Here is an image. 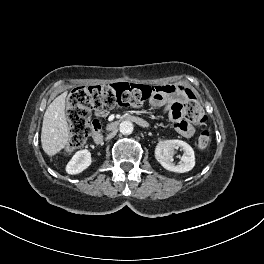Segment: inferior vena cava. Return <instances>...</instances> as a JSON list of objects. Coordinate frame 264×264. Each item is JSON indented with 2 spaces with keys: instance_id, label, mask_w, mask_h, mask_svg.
Returning a JSON list of instances; mask_svg holds the SVG:
<instances>
[{
  "instance_id": "obj_1",
  "label": "inferior vena cava",
  "mask_w": 264,
  "mask_h": 264,
  "mask_svg": "<svg viewBox=\"0 0 264 264\" xmlns=\"http://www.w3.org/2000/svg\"><path fill=\"white\" fill-rule=\"evenodd\" d=\"M115 135H116V131H113V132L109 133V134L107 135V137H106V140H110V139H112Z\"/></svg>"
}]
</instances>
